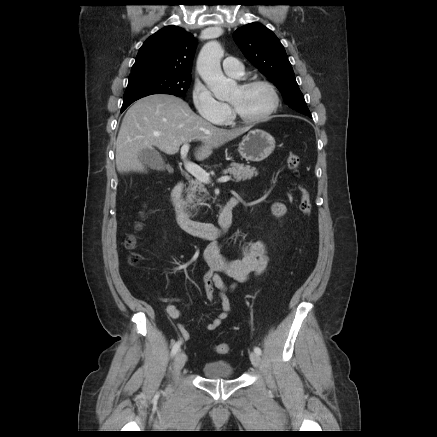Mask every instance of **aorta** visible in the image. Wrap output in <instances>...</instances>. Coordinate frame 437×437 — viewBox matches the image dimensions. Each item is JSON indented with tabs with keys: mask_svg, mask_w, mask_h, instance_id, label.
<instances>
[{
	"mask_svg": "<svg viewBox=\"0 0 437 437\" xmlns=\"http://www.w3.org/2000/svg\"><path fill=\"white\" fill-rule=\"evenodd\" d=\"M223 55L221 45L210 41L203 46L197 59L198 73L217 99L228 97L237 88L236 82L227 79L221 70Z\"/></svg>",
	"mask_w": 437,
	"mask_h": 437,
	"instance_id": "762f6f07",
	"label": "aorta"
}]
</instances>
